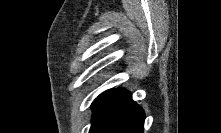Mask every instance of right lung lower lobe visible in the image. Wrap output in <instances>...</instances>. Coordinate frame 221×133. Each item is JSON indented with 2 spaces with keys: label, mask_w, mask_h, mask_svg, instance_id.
<instances>
[{
  "label": "right lung lower lobe",
  "mask_w": 221,
  "mask_h": 133,
  "mask_svg": "<svg viewBox=\"0 0 221 133\" xmlns=\"http://www.w3.org/2000/svg\"><path fill=\"white\" fill-rule=\"evenodd\" d=\"M90 133H142L145 114L124 89L102 93L93 103Z\"/></svg>",
  "instance_id": "obj_1"
}]
</instances>
